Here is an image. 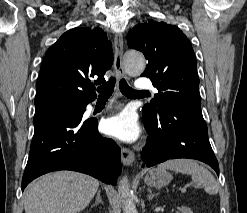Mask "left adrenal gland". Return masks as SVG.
<instances>
[{"instance_id": "left-adrenal-gland-1", "label": "left adrenal gland", "mask_w": 247, "mask_h": 213, "mask_svg": "<svg viewBox=\"0 0 247 213\" xmlns=\"http://www.w3.org/2000/svg\"><path fill=\"white\" fill-rule=\"evenodd\" d=\"M148 191V195H147V199L150 201L153 199V197L157 196V194L152 193V190L150 188L147 189Z\"/></svg>"}]
</instances>
